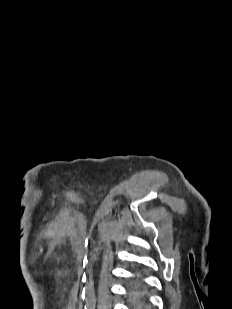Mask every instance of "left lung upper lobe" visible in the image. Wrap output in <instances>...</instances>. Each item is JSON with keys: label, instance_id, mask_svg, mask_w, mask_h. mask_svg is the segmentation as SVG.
Here are the masks:
<instances>
[{"label": "left lung upper lobe", "instance_id": "obj_1", "mask_svg": "<svg viewBox=\"0 0 232 309\" xmlns=\"http://www.w3.org/2000/svg\"><path fill=\"white\" fill-rule=\"evenodd\" d=\"M131 302H132V304H133V296H132V294H131Z\"/></svg>", "mask_w": 232, "mask_h": 309}]
</instances>
